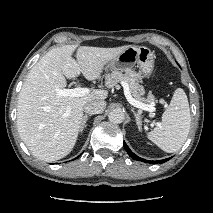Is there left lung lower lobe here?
<instances>
[{
    "label": "left lung lower lobe",
    "mask_w": 213,
    "mask_h": 213,
    "mask_svg": "<svg viewBox=\"0 0 213 213\" xmlns=\"http://www.w3.org/2000/svg\"><path fill=\"white\" fill-rule=\"evenodd\" d=\"M124 147L127 151V153L129 154V156L131 158H133L134 160H138V161H142V162H145V163H150V164H156V163H164L166 161H168L170 158H167V159H163V160H160V161H148V160H145V159H142L140 157H138L137 155H135L131 150L130 148L127 146V144L124 142Z\"/></svg>",
    "instance_id": "left-lung-lower-lobe-1"
}]
</instances>
